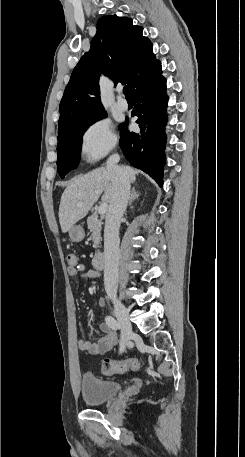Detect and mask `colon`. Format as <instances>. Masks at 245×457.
Returning a JSON list of instances; mask_svg holds the SVG:
<instances>
[{"label":"colon","instance_id":"5ec220e1","mask_svg":"<svg viewBox=\"0 0 245 457\" xmlns=\"http://www.w3.org/2000/svg\"><path fill=\"white\" fill-rule=\"evenodd\" d=\"M69 267L77 268L78 260L74 254L67 256ZM141 363L137 358H128L124 360L105 359L102 362V372L105 375L122 374L129 371H136L140 368Z\"/></svg>","mask_w":245,"mask_h":457}]
</instances>
